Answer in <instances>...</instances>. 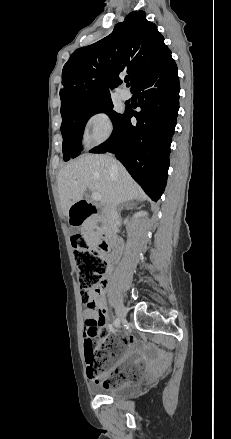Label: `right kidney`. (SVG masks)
Returning <instances> with one entry per match:
<instances>
[{
  "label": "right kidney",
  "mask_w": 231,
  "mask_h": 439,
  "mask_svg": "<svg viewBox=\"0 0 231 439\" xmlns=\"http://www.w3.org/2000/svg\"><path fill=\"white\" fill-rule=\"evenodd\" d=\"M146 214H147L146 212H138L134 215V217L137 218V217L145 216Z\"/></svg>",
  "instance_id": "obj_1"
}]
</instances>
